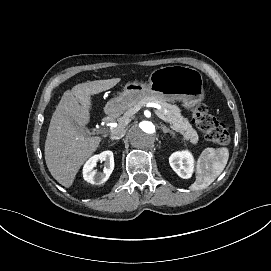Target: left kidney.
<instances>
[{
  "label": "left kidney",
  "mask_w": 271,
  "mask_h": 271,
  "mask_svg": "<svg viewBox=\"0 0 271 271\" xmlns=\"http://www.w3.org/2000/svg\"><path fill=\"white\" fill-rule=\"evenodd\" d=\"M171 168L183 179H188L194 171V158L189 150L177 151L169 157Z\"/></svg>",
  "instance_id": "1"
}]
</instances>
